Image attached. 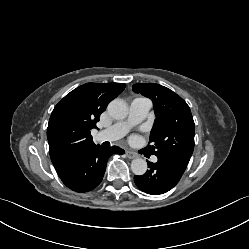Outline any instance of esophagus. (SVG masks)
<instances>
[{
	"label": "esophagus",
	"instance_id": "34e87169",
	"mask_svg": "<svg viewBox=\"0 0 249 249\" xmlns=\"http://www.w3.org/2000/svg\"><path fill=\"white\" fill-rule=\"evenodd\" d=\"M126 155L129 159H134L138 157V154L136 152H133L131 150H126Z\"/></svg>",
	"mask_w": 249,
	"mask_h": 249
}]
</instances>
